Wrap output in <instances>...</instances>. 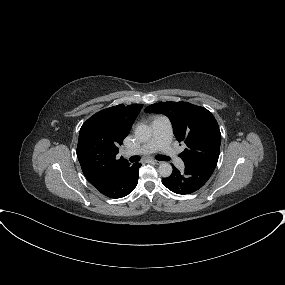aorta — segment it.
<instances>
[{"instance_id":"obj_1","label":"aorta","mask_w":285,"mask_h":285,"mask_svg":"<svg viewBox=\"0 0 285 285\" xmlns=\"http://www.w3.org/2000/svg\"><path fill=\"white\" fill-rule=\"evenodd\" d=\"M152 128L146 124H139L135 129V136L141 141H148L152 137ZM172 166L168 162L159 165L158 172L162 177H169L172 174Z\"/></svg>"}]
</instances>
